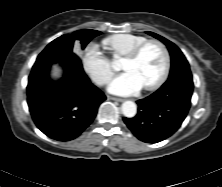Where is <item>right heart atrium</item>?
Returning a JSON list of instances; mask_svg holds the SVG:
<instances>
[{"mask_svg":"<svg viewBox=\"0 0 222 187\" xmlns=\"http://www.w3.org/2000/svg\"><path fill=\"white\" fill-rule=\"evenodd\" d=\"M81 63L86 73L98 85L107 84L114 75L111 62L94 42L89 43L83 50Z\"/></svg>","mask_w":222,"mask_h":187,"instance_id":"1","label":"right heart atrium"}]
</instances>
